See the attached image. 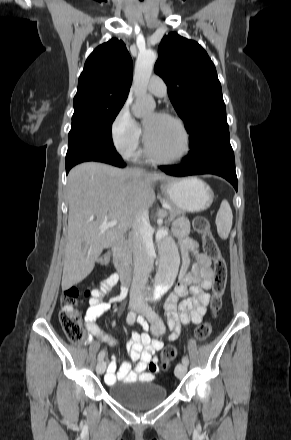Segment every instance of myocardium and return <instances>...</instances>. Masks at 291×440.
I'll use <instances>...</instances> for the list:
<instances>
[{
  "label": "myocardium",
  "instance_id": "obj_1",
  "mask_svg": "<svg viewBox=\"0 0 291 440\" xmlns=\"http://www.w3.org/2000/svg\"><path fill=\"white\" fill-rule=\"evenodd\" d=\"M160 115H162L163 117L172 120L173 122H175L177 124V126L180 128L181 132L183 133L184 136V151L183 153L177 157V158H173V159H167L164 158L162 156H160L152 147L148 136L146 134V131L144 132V142H145V150L148 154V156L155 162L161 163V164H177L180 163L181 161H183L190 153L191 151V137H190V133L185 125V123L183 122V120L181 118H179L178 116L168 113V112H162Z\"/></svg>",
  "mask_w": 291,
  "mask_h": 440
}]
</instances>
